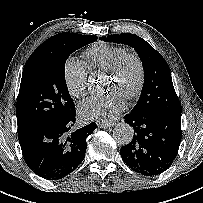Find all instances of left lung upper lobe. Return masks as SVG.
Here are the masks:
<instances>
[{
	"instance_id": "5c2ea615",
	"label": "left lung upper lobe",
	"mask_w": 203,
	"mask_h": 203,
	"mask_svg": "<svg viewBox=\"0 0 203 203\" xmlns=\"http://www.w3.org/2000/svg\"><path fill=\"white\" fill-rule=\"evenodd\" d=\"M100 39L126 44L134 48L142 60L144 84L140 98L130 113L150 117L182 113L181 103L172 83L169 66L158 51L135 34H114Z\"/></svg>"
}]
</instances>
